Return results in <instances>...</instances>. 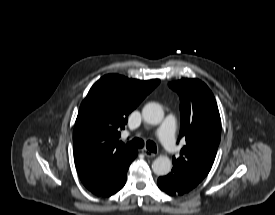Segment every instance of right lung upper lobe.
I'll list each match as a JSON object with an SVG mask.
<instances>
[{"label":"right lung upper lobe","mask_w":275,"mask_h":215,"mask_svg":"<svg viewBox=\"0 0 275 215\" xmlns=\"http://www.w3.org/2000/svg\"><path fill=\"white\" fill-rule=\"evenodd\" d=\"M160 83L117 74L100 78L83 100L73 132L74 161L79 177L100 165L121 161L136 150L118 140L127 117Z\"/></svg>","instance_id":"cb5924a9"}]
</instances>
